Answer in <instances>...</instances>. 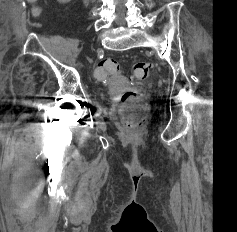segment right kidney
<instances>
[{"mask_svg":"<svg viewBox=\"0 0 237 232\" xmlns=\"http://www.w3.org/2000/svg\"><path fill=\"white\" fill-rule=\"evenodd\" d=\"M59 3L66 4L70 2L71 0H57Z\"/></svg>","mask_w":237,"mask_h":232,"instance_id":"right-kidney-1","label":"right kidney"}]
</instances>
